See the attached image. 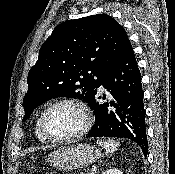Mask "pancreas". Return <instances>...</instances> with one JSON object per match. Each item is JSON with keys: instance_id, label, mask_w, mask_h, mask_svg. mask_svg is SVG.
Segmentation results:
<instances>
[{"instance_id": "pancreas-1", "label": "pancreas", "mask_w": 175, "mask_h": 174, "mask_svg": "<svg viewBox=\"0 0 175 174\" xmlns=\"http://www.w3.org/2000/svg\"><path fill=\"white\" fill-rule=\"evenodd\" d=\"M81 174H89V173H81Z\"/></svg>"}]
</instances>
